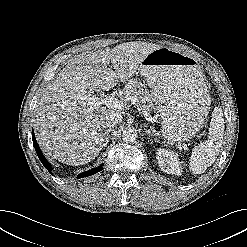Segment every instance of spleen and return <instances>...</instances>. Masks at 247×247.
<instances>
[{
    "mask_svg": "<svg viewBox=\"0 0 247 247\" xmlns=\"http://www.w3.org/2000/svg\"><path fill=\"white\" fill-rule=\"evenodd\" d=\"M224 118L221 108L215 107L208 139L197 145L192 152L189 168L194 174H202L211 166L219 153L224 134Z\"/></svg>",
    "mask_w": 247,
    "mask_h": 247,
    "instance_id": "1",
    "label": "spleen"
}]
</instances>
